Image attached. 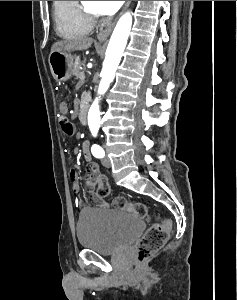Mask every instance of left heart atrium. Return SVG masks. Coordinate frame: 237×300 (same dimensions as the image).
Listing matches in <instances>:
<instances>
[{"instance_id": "1", "label": "left heart atrium", "mask_w": 237, "mask_h": 300, "mask_svg": "<svg viewBox=\"0 0 237 300\" xmlns=\"http://www.w3.org/2000/svg\"><path fill=\"white\" fill-rule=\"evenodd\" d=\"M124 1H100V11L105 15H112L119 10Z\"/></svg>"}]
</instances>
